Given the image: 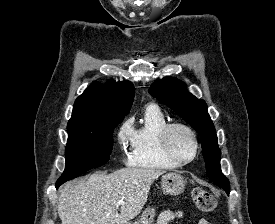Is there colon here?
<instances>
[{"label":"colon","instance_id":"5ec220e1","mask_svg":"<svg viewBox=\"0 0 275 224\" xmlns=\"http://www.w3.org/2000/svg\"><path fill=\"white\" fill-rule=\"evenodd\" d=\"M192 201L195 208L200 212H210L216 206L215 197L202 188H194L192 190Z\"/></svg>","mask_w":275,"mask_h":224}]
</instances>
